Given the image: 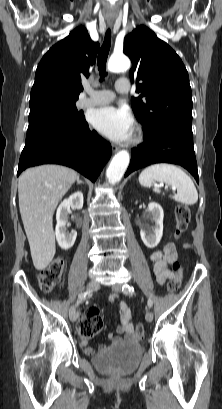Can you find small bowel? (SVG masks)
Segmentation results:
<instances>
[{"label":"small bowel","instance_id":"obj_1","mask_svg":"<svg viewBox=\"0 0 222 409\" xmlns=\"http://www.w3.org/2000/svg\"><path fill=\"white\" fill-rule=\"evenodd\" d=\"M188 244H184V248H187ZM173 266L179 269L182 263L177 260V250L172 242H167L164 244L163 248L156 250L150 255V261L153 264V272L156 277L157 282L160 285L165 284L167 281L176 279V274L169 270L168 265L172 261ZM108 299L111 303L118 301L119 312H120V324L116 329V334L109 333L108 338L114 344H120L123 342H135L136 337L134 333V325L132 322V310L128 304L124 301H119L116 294H110ZM101 318V317H100ZM81 345L84 352L87 355H93L95 350L89 346L88 340L82 339ZM108 348L107 345L103 344L99 347L100 351L103 352Z\"/></svg>","mask_w":222,"mask_h":409}]
</instances>
